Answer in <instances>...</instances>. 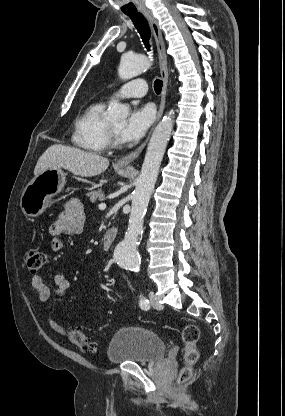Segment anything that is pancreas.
Here are the masks:
<instances>
[{
  "mask_svg": "<svg viewBox=\"0 0 285 416\" xmlns=\"http://www.w3.org/2000/svg\"><path fill=\"white\" fill-rule=\"evenodd\" d=\"M87 198H90V202H97V200H100V202H104V194L102 190H95V192H88L86 194Z\"/></svg>",
  "mask_w": 285,
  "mask_h": 416,
  "instance_id": "pancreas-1",
  "label": "pancreas"
}]
</instances>
